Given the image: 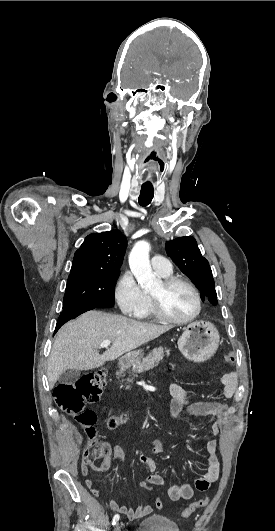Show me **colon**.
Segmentation results:
<instances>
[{"instance_id": "obj_1", "label": "colon", "mask_w": 275, "mask_h": 531, "mask_svg": "<svg viewBox=\"0 0 275 531\" xmlns=\"http://www.w3.org/2000/svg\"><path fill=\"white\" fill-rule=\"evenodd\" d=\"M236 353L229 349L225 353V362L232 364L235 362ZM107 382L106 371L98 370L95 373H86L79 379L69 382L58 383L53 389V397L58 407L69 415H73L76 421L83 427L88 442L84 451L83 469L95 470L103 469L106 465L105 456L108 452V445L97 437V415L91 409H86L88 403L99 400L101 390ZM125 424L122 417L109 418L107 425L110 429H116ZM89 487H92L93 481H86ZM143 489L148 490V483L141 484ZM209 499L207 497L197 499L190 503L187 510L183 512V518L196 510L203 509L207 506ZM160 500L156 502V509L162 508Z\"/></svg>"}]
</instances>
